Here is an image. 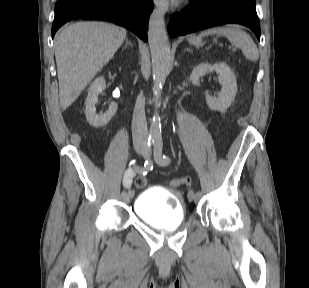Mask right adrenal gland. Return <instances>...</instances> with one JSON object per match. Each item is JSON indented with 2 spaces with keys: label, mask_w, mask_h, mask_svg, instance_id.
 Instances as JSON below:
<instances>
[{
  "label": "right adrenal gland",
  "mask_w": 309,
  "mask_h": 288,
  "mask_svg": "<svg viewBox=\"0 0 309 288\" xmlns=\"http://www.w3.org/2000/svg\"><path fill=\"white\" fill-rule=\"evenodd\" d=\"M128 46L133 47V44L128 40V38H126V43H125L124 47L122 48V50H125Z\"/></svg>",
  "instance_id": "2a0ac1e0"
}]
</instances>
